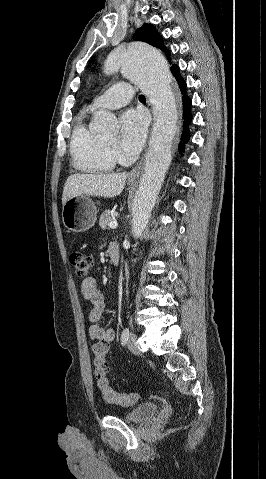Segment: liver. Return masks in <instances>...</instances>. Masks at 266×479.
Returning a JSON list of instances; mask_svg holds the SVG:
<instances>
[{
	"mask_svg": "<svg viewBox=\"0 0 266 479\" xmlns=\"http://www.w3.org/2000/svg\"><path fill=\"white\" fill-rule=\"evenodd\" d=\"M127 179L126 173L117 174H72L65 183L62 204L72 197L91 195L115 197L121 194Z\"/></svg>",
	"mask_w": 266,
	"mask_h": 479,
	"instance_id": "6515ba94",
	"label": "liver"
}]
</instances>
